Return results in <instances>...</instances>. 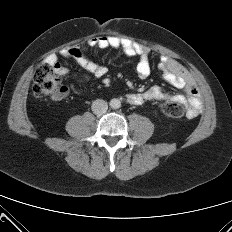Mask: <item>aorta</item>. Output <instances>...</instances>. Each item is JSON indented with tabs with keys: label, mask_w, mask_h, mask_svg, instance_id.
I'll use <instances>...</instances> for the list:
<instances>
[{
	"label": "aorta",
	"mask_w": 232,
	"mask_h": 232,
	"mask_svg": "<svg viewBox=\"0 0 232 232\" xmlns=\"http://www.w3.org/2000/svg\"><path fill=\"white\" fill-rule=\"evenodd\" d=\"M110 106L111 108L118 109L121 106V101L119 99L114 98L110 101Z\"/></svg>",
	"instance_id": "obj_1"
}]
</instances>
